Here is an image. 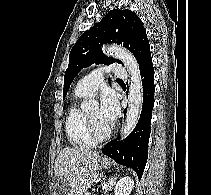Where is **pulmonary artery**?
Instances as JSON below:
<instances>
[{
	"mask_svg": "<svg viewBox=\"0 0 211 195\" xmlns=\"http://www.w3.org/2000/svg\"><path fill=\"white\" fill-rule=\"evenodd\" d=\"M109 72H112L115 76L123 79L127 77L125 68L119 63H113L109 67L95 69L79 80L75 92L86 97L94 95L103 82L105 73Z\"/></svg>",
	"mask_w": 211,
	"mask_h": 195,
	"instance_id": "obj_1",
	"label": "pulmonary artery"
}]
</instances>
